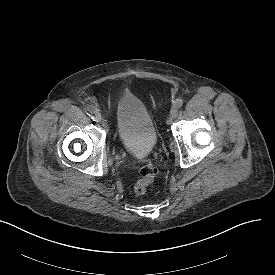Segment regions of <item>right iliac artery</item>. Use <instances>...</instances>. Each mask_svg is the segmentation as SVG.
<instances>
[{
    "mask_svg": "<svg viewBox=\"0 0 275 275\" xmlns=\"http://www.w3.org/2000/svg\"><path fill=\"white\" fill-rule=\"evenodd\" d=\"M95 109H96V107H95L94 105H89V106L87 107V110H88L90 113H94Z\"/></svg>",
    "mask_w": 275,
    "mask_h": 275,
    "instance_id": "right-iliac-artery-1",
    "label": "right iliac artery"
}]
</instances>
